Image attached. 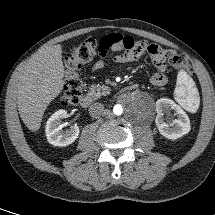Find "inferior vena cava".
I'll return each mask as SVG.
<instances>
[{"instance_id":"obj_1","label":"inferior vena cava","mask_w":215,"mask_h":215,"mask_svg":"<svg viewBox=\"0 0 215 215\" xmlns=\"http://www.w3.org/2000/svg\"><path fill=\"white\" fill-rule=\"evenodd\" d=\"M89 113L92 117L98 118L104 113V105L102 103H94L89 107Z\"/></svg>"}]
</instances>
